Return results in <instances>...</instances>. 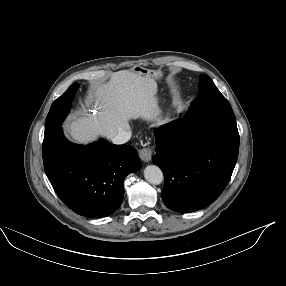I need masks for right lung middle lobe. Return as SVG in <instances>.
<instances>
[{
    "label": "right lung middle lobe",
    "mask_w": 286,
    "mask_h": 286,
    "mask_svg": "<svg viewBox=\"0 0 286 286\" xmlns=\"http://www.w3.org/2000/svg\"><path fill=\"white\" fill-rule=\"evenodd\" d=\"M77 88V83H73L62 96L53 102L45 121V133L61 127L70 110L71 101Z\"/></svg>",
    "instance_id": "obj_1"
}]
</instances>
